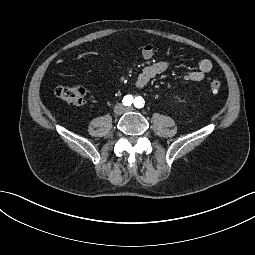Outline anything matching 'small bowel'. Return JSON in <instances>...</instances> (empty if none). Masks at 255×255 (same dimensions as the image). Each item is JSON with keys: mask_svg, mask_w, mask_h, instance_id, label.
<instances>
[{"mask_svg": "<svg viewBox=\"0 0 255 255\" xmlns=\"http://www.w3.org/2000/svg\"><path fill=\"white\" fill-rule=\"evenodd\" d=\"M142 57L145 60H151L155 55V49L153 45L147 44L142 48ZM175 60H163L157 61L145 66L135 79V86L139 89L144 88L149 82L156 76L164 73L168 70ZM212 62L209 59L203 58L197 62V68L189 71L185 75V79L189 81L198 82L204 79L205 75L212 70Z\"/></svg>", "mask_w": 255, "mask_h": 255, "instance_id": "small-bowel-1", "label": "small bowel"}]
</instances>
